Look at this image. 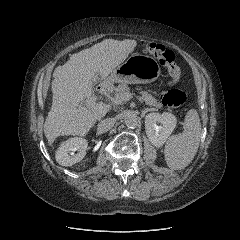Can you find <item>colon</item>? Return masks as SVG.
Wrapping results in <instances>:
<instances>
[{
	"label": "colon",
	"instance_id": "colon-1",
	"mask_svg": "<svg viewBox=\"0 0 240 240\" xmlns=\"http://www.w3.org/2000/svg\"><path fill=\"white\" fill-rule=\"evenodd\" d=\"M143 49L149 54L156 57L160 64L165 66L172 78L173 83H176L181 76V70L175 62V54L166 49L161 44L143 43ZM187 99L186 93L180 89H170L161 95L162 103L168 107H179L185 103Z\"/></svg>",
	"mask_w": 240,
	"mask_h": 240
}]
</instances>
